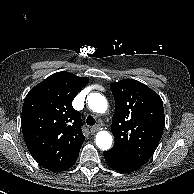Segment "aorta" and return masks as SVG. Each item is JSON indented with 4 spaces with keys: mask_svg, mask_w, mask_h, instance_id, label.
<instances>
[{
    "mask_svg": "<svg viewBox=\"0 0 194 194\" xmlns=\"http://www.w3.org/2000/svg\"><path fill=\"white\" fill-rule=\"evenodd\" d=\"M88 107L97 113H105L107 101L100 93H91L87 97ZM112 135L107 131H99L96 134V145L101 150H109L112 146Z\"/></svg>",
    "mask_w": 194,
    "mask_h": 194,
    "instance_id": "762f6f07",
    "label": "aorta"
}]
</instances>
